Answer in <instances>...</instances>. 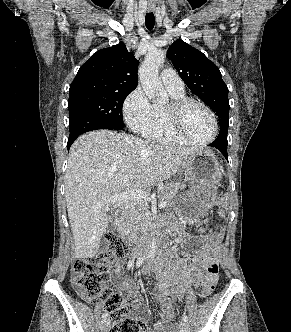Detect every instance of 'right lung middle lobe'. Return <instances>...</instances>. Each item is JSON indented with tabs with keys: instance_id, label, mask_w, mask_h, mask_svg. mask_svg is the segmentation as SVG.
<instances>
[{
	"instance_id": "right-lung-middle-lobe-1",
	"label": "right lung middle lobe",
	"mask_w": 291,
	"mask_h": 332,
	"mask_svg": "<svg viewBox=\"0 0 291 332\" xmlns=\"http://www.w3.org/2000/svg\"><path fill=\"white\" fill-rule=\"evenodd\" d=\"M130 92H98L69 98L68 108L70 118L76 115L78 110H84L89 114L100 117L107 129L122 130L124 126L122 106Z\"/></svg>"
}]
</instances>
